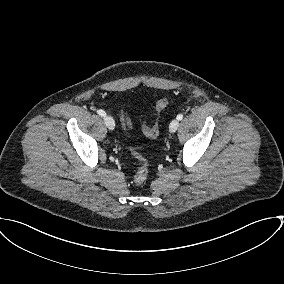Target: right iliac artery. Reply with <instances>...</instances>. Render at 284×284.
I'll use <instances>...</instances> for the list:
<instances>
[{
  "mask_svg": "<svg viewBox=\"0 0 284 284\" xmlns=\"http://www.w3.org/2000/svg\"><path fill=\"white\" fill-rule=\"evenodd\" d=\"M97 113H98L100 116H105V115H106V113H105L103 110H101V109L97 110Z\"/></svg>",
  "mask_w": 284,
  "mask_h": 284,
  "instance_id": "right-iliac-artery-1",
  "label": "right iliac artery"
}]
</instances>
